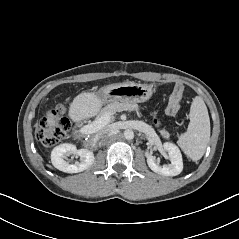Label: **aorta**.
I'll return each instance as SVG.
<instances>
[{
    "label": "aorta",
    "mask_w": 239,
    "mask_h": 239,
    "mask_svg": "<svg viewBox=\"0 0 239 239\" xmlns=\"http://www.w3.org/2000/svg\"><path fill=\"white\" fill-rule=\"evenodd\" d=\"M124 137L127 140H132L134 138V132L131 129H127L124 131Z\"/></svg>",
    "instance_id": "762f6f07"
}]
</instances>
